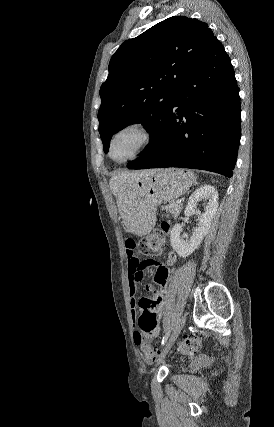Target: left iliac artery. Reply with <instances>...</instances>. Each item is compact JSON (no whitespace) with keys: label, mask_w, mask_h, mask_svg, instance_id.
I'll return each instance as SVG.
<instances>
[{"label":"left iliac artery","mask_w":274,"mask_h":427,"mask_svg":"<svg viewBox=\"0 0 274 427\" xmlns=\"http://www.w3.org/2000/svg\"><path fill=\"white\" fill-rule=\"evenodd\" d=\"M170 335V330H168L165 335L163 336L162 342L161 344L164 345L166 343V341L168 340V337Z\"/></svg>","instance_id":"left-iliac-artery-1"}]
</instances>
